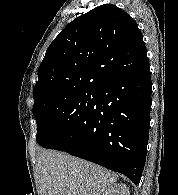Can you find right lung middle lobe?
<instances>
[{
	"label": "right lung middle lobe",
	"mask_w": 178,
	"mask_h": 195,
	"mask_svg": "<svg viewBox=\"0 0 178 195\" xmlns=\"http://www.w3.org/2000/svg\"><path fill=\"white\" fill-rule=\"evenodd\" d=\"M96 96V90H79L50 98L34 107L38 144L54 149L66 133L84 118Z\"/></svg>",
	"instance_id": "1"
}]
</instances>
